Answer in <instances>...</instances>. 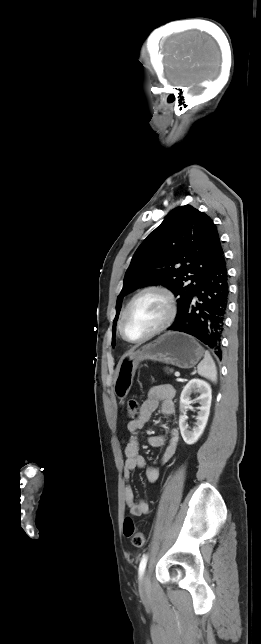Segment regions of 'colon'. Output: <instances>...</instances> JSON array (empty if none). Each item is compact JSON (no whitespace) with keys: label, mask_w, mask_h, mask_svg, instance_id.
<instances>
[{"label":"colon","mask_w":261,"mask_h":644,"mask_svg":"<svg viewBox=\"0 0 261 644\" xmlns=\"http://www.w3.org/2000/svg\"><path fill=\"white\" fill-rule=\"evenodd\" d=\"M127 414L134 420L140 414V402L137 398H132L127 404ZM123 533L125 537L129 538L134 547L140 548L144 545V535L137 529L134 521L130 517H126L123 523Z\"/></svg>","instance_id":"obj_1"}]
</instances>
